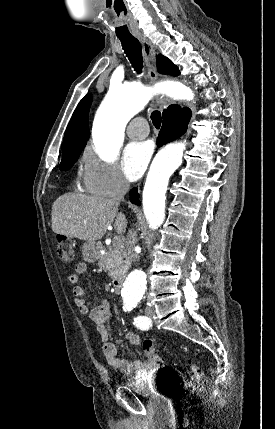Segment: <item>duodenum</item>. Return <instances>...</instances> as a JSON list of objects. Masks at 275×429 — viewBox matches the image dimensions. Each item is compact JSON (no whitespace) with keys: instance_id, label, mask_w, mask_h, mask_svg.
<instances>
[{"instance_id":"1","label":"duodenum","mask_w":275,"mask_h":429,"mask_svg":"<svg viewBox=\"0 0 275 429\" xmlns=\"http://www.w3.org/2000/svg\"><path fill=\"white\" fill-rule=\"evenodd\" d=\"M122 283H123V280L121 277H118V278L113 280L112 286H113V289L116 293H119L121 291Z\"/></svg>"}]
</instances>
